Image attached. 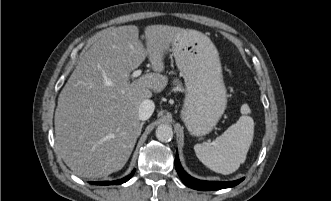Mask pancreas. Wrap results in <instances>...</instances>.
<instances>
[{"label": "pancreas", "instance_id": "pancreas-1", "mask_svg": "<svg viewBox=\"0 0 331 201\" xmlns=\"http://www.w3.org/2000/svg\"><path fill=\"white\" fill-rule=\"evenodd\" d=\"M174 83H175V85H177V87L175 88V90H178V91H182L183 90L182 89V86H181V84L179 83L178 80L174 81Z\"/></svg>", "mask_w": 331, "mask_h": 201}]
</instances>
